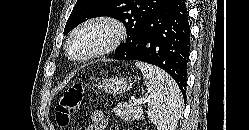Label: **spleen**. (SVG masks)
<instances>
[{"label":"spleen","instance_id":"3e777b00","mask_svg":"<svg viewBox=\"0 0 249 130\" xmlns=\"http://www.w3.org/2000/svg\"><path fill=\"white\" fill-rule=\"evenodd\" d=\"M144 75L148 97V118L158 130H175L182 113V94L173 78L157 66L137 61Z\"/></svg>","mask_w":249,"mask_h":130}]
</instances>
